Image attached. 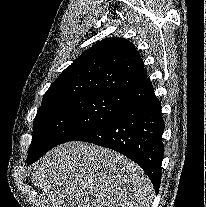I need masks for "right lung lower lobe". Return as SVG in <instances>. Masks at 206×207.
<instances>
[{"label":"right lung lower lobe","instance_id":"obj_1","mask_svg":"<svg viewBox=\"0 0 206 207\" xmlns=\"http://www.w3.org/2000/svg\"><path fill=\"white\" fill-rule=\"evenodd\" d=\"M127 102L113 118L77 140L115 150L136 162L148 175L158 193L164 155V121L161 104L148 78L126 93ZM43 154L28 158L33 163Z\"/></svg>","mask_w":206,"mask_h":207}]
</instances>
